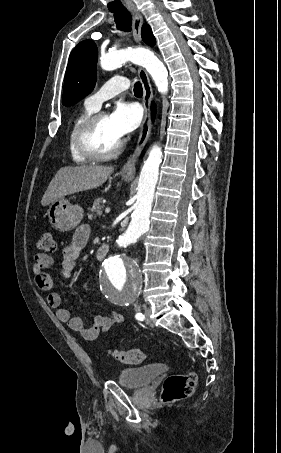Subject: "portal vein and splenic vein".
<instances>
[{
  "mask_svg": "<svg viewBox=\"0 0 281 453\" xmlns=\"http://www.w3.org/2000/svg\"><path fill=\"white\" fill-rule=\"evenodd\" d=\"M111 208H105V212H107L108 214H111Z\"/></svg>",
  "mask_w": 281,
  "mask_h": 453,
  "instance_id": "obj_1",
  "label": "portal vein and splenic vein"
}]
</instances>
